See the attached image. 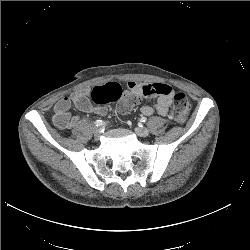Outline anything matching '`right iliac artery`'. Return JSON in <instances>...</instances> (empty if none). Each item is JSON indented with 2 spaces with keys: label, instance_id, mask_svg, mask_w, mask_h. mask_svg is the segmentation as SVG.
<instances>
[{
  "label": "right iliac artery",
  "instance_id": "right-iliac-artery-1",
  "mask_svg": "<svg viewBox=\"0 0 250 250\" xmlns=\"http://www.w3.org/2000/svg\"><path fill=\"white\" fill-rule=\"evenodd\" d=\"M94 124L98 127V126H105V122H103L102 120H96L94 122Z\"/></svg>",
  "mask_w": 250,
  "mask_h": 250
}]
</instances>
